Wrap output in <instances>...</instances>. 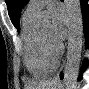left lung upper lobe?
Here are the masks:
<instances>
[{
    "label": "left lung upper lobe",
    "instance_id": "1",
    "mask_svg": "<svg viewBox=\"0 0 89 89\" xmlns=\"http://www.w3.org/2000/svg\"><path fill=\"white\" fill-rule=\"evenodd\" d=\"M29 0H6L8 13L13 25L19 31V18L22 8Z\"/></svg>",
    "mask_w": 89,
    "mask_h": 89
}]
</instances>
